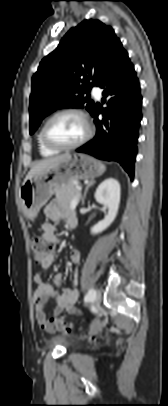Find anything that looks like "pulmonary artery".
I'll return each instance as SVG.
<instances>
[{"instance_id": "1", "label": "pulmonary artery", "mask_w": 168, "mask_h": 406, "mask_svg": "<svg viewBox=\"0 0 168 406\" xmlns=\"http://www.w3.org/2000/svg\"><path fill=\"white\" fill-rule=\"evenodd\" d=\"M92 93H93V95L95 96L96 99H100L101 91H100L99 88L93 87Z\"/></svg>"}]
</instances>
